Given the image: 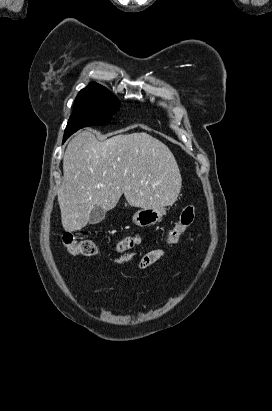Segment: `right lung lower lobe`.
I'll return each mask as SVG.
<instances>
[{"mask_svg":"<svg viewBox=\"0 0 272 411\" xmlns=\"http://www.w3.org/2000/svg\"><path fill=\"white\" fill-rule=\"evenodd\" d=\"M67 138H63V141H65Z\"/></svg>","mask_w":272,"mask_h":411,"instance_id":"1","label":"right lung lower lobe"}]
</instances>
